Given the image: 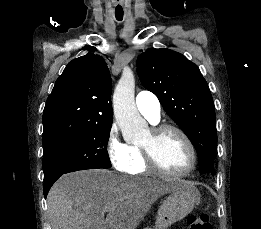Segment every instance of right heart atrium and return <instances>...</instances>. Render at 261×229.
<instances>
[{
	"instance_id": "1",
	"label": "right heart atrium",
	"mask_w": 261,
	"mask_h": 229,
	"mask_svg": "<svg viewBox=\"0 0 261 229\" xmlns=\"http://www.w3.org/2000/svg\"><path fill=\"white\" fill-rule=\"evenodd\" d=\"M105 149L114 169L123 173L129 172L133 164V154L130 144L120 139L119 129L115 123L109 128Z\"/></svg>"
}]
</instances>
